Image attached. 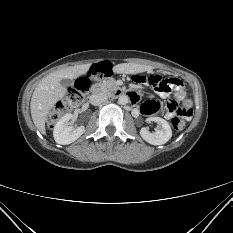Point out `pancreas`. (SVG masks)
Returning a JSON list of instances; mask_svg holds the SVG:
<instances>
[{"mask_svg": "<svg viewBox=\"0 0 233 233\" xmlns=\"http://www.w3.org/2000/svg\"><path fill=\"white\" fill-rule=\"evenodd\" d=\"M100 87L103 91H113L117 88L116 80L111 78L108 80H104L101 84Z\"/></svg>", "mask_w": 233, "mask_h": 233, "instance_id": "pancreas-1", "label": "pancreas"}]
</instances>
